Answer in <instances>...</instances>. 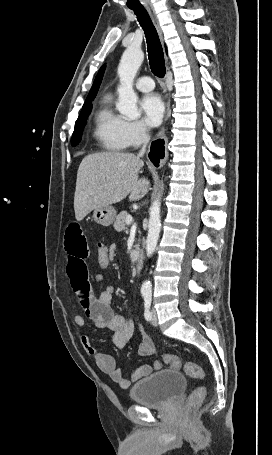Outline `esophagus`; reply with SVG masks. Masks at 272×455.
<instances>
[{
	"mask_svg": "<svg viewBox=\"0 0 272 455\" xmlns=\"http://www.w3.org/2000/svg\"><path fill=\"white\" fill-rule=\"evenodd\" d=\"M146 10L148 11L149 15L151 16L153 23L159 33L162 36L161 28L157 19V16L154 12V8L151 4L145 5ZM170 116V107L169 103L167 105V114H166V121ZM165 135V128H163L157 135L155 141L152 142L150 146V155H149V162L153 168H161L168 157L167 149L165 150L163 139ZM165 150V152H164Z\"/></svg>",
	"mask_w": 272,
	"mask_h": 455,
	"instance_id": "34e87169",
	"label": "esophagus"
}]
</instances>
